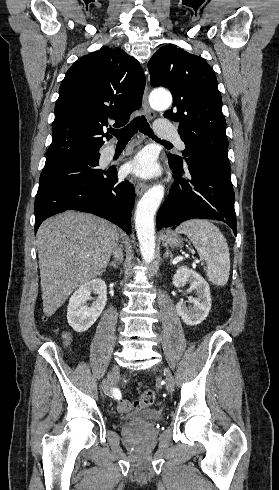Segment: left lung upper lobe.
Masks as SVG:
<instances>
[{"label": "left lung upper lobe", "instance_id": "1", "mask_svg": "<svg viewBox=\"0 0 279 490\" xmlns=\"http://www.w3.org/2000/svg\"><path fill=\"white\" fill-rule=\"evenodd\" d=\"M150 84L169 88L173 107L164 116L179 122L178 133L185 143V162L208 156L230 165L226 121L215 72L196 55L172 45L161 47L148 63ZM177 166L181 157L170 155Z\"/></svg>", "mask_w": 279, "mask_h": 490}]
</instances>
